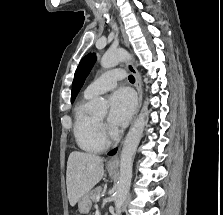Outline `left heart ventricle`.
<instances>
[{"instance_id": "obj_1", "label": "left heart ventricle", "mask_w": 223, "mask_h": 215, "mask_svg": "<svg viewBox=\"0 0 223 215\" xmlns=\"http://www.w3.org/2000/svg\"><path fill=\"white\" fill-rule=\"evenodd\" d=\"M105 115H106V113H104V114H100V115H97L96 118H97L99 121L104 122V120H105ZM109 131H110V130H109Z\"/></svg>"}]
</instances>
